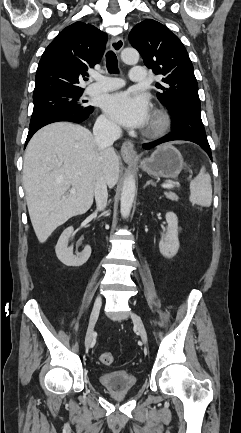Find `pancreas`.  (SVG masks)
Segmentation results:
<instances>
[{
    "mask_svg": "<svg viewBox=\"0 0 241 433\" xmlns=\"http://www.w3.org/2000/svg\"><path fill=\"white\" fill-rule=\"evenodd\" d=\"M164 194L168 199H170L172 201H178V199H179V197L173 192H165Z\"/></svg>",
    "mask_w": 241,
    "mask_h": 433,
    "instance_id": "cf45deb5",
    "label": "pancreas"
}]
</instances>
